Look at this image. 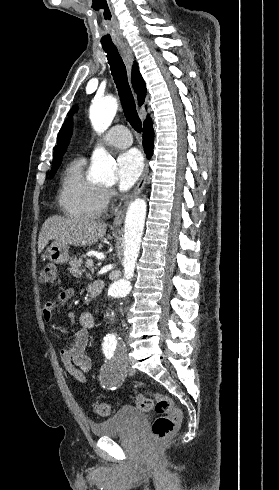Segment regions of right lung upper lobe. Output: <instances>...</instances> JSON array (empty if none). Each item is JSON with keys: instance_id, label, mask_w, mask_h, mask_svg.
<instances>
[{"instance_id": "right-lung-upper-lobe-1", "label": "right lung upper lobe", "mask_w": 279, "mask_h": 490, "mask_svg": "<svg viewBox=\"0 0 279 490\" xmlns=\"http://www.w3.org/2000/svg\"><path fill=\"white\" fill-rule=\"evenodd\" d=\"M132 84L135 92L138 95V100L140 104H142L144 102V97L146 95V86L136 63L134 64L133 71H132ZM151 123H152L151 119L147 118L144 121L143 126L145 127ZM71 133H72L71 122L65 121L58 134L57 146L55 147V151L53 154V165L51 170L58 168L60 166L62 162V156L70 141Z\"/></svg>"}]
</instances>
